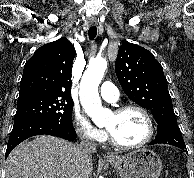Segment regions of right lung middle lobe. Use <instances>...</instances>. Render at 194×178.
Listing matches in <instances>:
<instances>
[{
  "label": "right lung middle lobe",
  "mask_w": 194,
  "mask_h": 178,
  "mask_svg": "<svg viewBox=\"0 0 194 178\" xmlns=\"http://www.w3.org/2000/svg\"><path fill=\"white\" fill-rule=\"evenodd\" d=\"M73 100L66 96L33 97L18 100L14 122L44 120L58 125H73Z\"/></svg>",
  "instance_id": "dd1d6c3e"
}]
</instances>
